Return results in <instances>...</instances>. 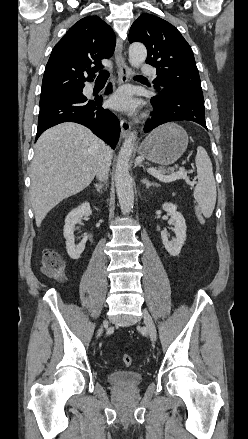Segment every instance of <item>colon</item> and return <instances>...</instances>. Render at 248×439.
<instances>
[{
	"label": "colon",
	"mask_w": 248,
	"mask_h": 439,
	"mask_svg": "<svg viewBox=\"0 0 248 439\" xmlns=\"http://www.w3.org/2000/svg\"><path fill=\"white\" fill-rule=\"evenodd\" d=\"M194 213L197 221L201 225L205 224L206 221L205 216L203 215L200 208L196 204L194 205ZM42 270L46 276L53 278L57 281H61L65 277L64 261L57 252L52 250H46L43 253ZM121 360L125 366H130L133 361L132 357L129 354H124L121 357Z\"/></svg>",
	"instance_id": "1"
}]
</instances>
